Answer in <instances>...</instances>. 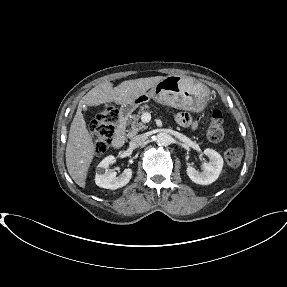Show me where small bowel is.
Segmentation results:
<instances>
[{
  "label": "small bowel",
  "instance_id": "obj_1",
  "mask_svg": "<svg viewBox=\"0 0 287 287\" xmlns=\"http://www.w3.org/2000/svg\"><path fill=\"white\" fill-rule=\"evenodd\" d=\"M176 122L182 126H194L195 125L192 118L187 113H179L176 116Z\"/></svg>",
  "mask_w": 287,
  "mask_h": 287
}]
</instances>
